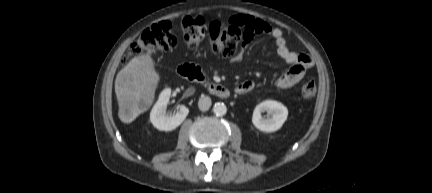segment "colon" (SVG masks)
Listing matches in <instances>:
<instances>
[{"label": "colon", "mask_w": 432, "mask_h": 193, "mask_svg": "<svg viewBox=\"0 0 432 193\" xmlns=\"http://www.w3.org/2000/svg\"><path fill=\"white\" fill-rule=\"evenodd\" d=\"M183 38L188 48L195 49L205 36L209 39L212 52L218 56H232L236 53L241 41L250 40V35L241 26L225 24L218 21L206 23L202 17H185L181 23ZM178 38L171 30V24L160 22L145 29L134 42L125 58L138 56L148 49L166 52L175 49ZM317 86L315 81H306L300 90L303 99L315 96Z\"/></svg>", "instance_id": "5ec220e1"}]
</instances>
